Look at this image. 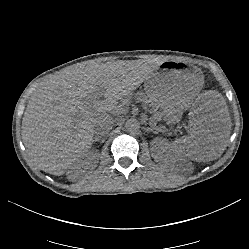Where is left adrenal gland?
<instances>
[{
  "mask_svg": "<svg viewBox=\"0 0 249 249\" xmlns=\"http://www.w3.org/2000/svg\"><path fill=\"white\" fill-rule=\"evenodd\" d=\"M146 130H147L148 132H150V133L155 134V133H154V127H152V128L147 127Z\"/></svg>",
  "mask_w": 249,
  "mask_h": 249,
  "instance_id": "1",
  "label": "left adrenal gland"
}]
</instances>
